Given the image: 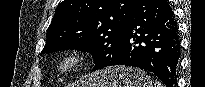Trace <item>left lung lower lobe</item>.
<instances>
[{"label": "left lung lower lobe", "instance_id": "0a47b994", "mask_svg": "<svg viewBox=\"0 0 205 87\" xmlns=\"http://www.w3.org/2000/svg\"><path fill=\"white\" fill-rule=\"evenodd\" d=\"M179 58L178 28L168 0H138L117 54L102 68L112 65L143 68L154 73L167 87H175Z\"/></svg>", "mask_w": 205, "mask_h": 87}]
</instances>
